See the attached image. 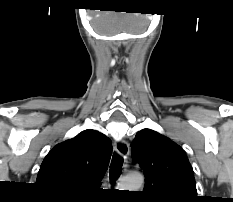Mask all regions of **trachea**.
Here are the masks:
<instances>
[{
	"label": "trachea",
	"instance_id": "1",
	"mask_svg": "<svg viewBox=\"0 0 233 202\" xmlns=\"http://www.w3.org/2000/svg\"><path fill=\"white\" fill-rule=\"evenodd\" d=\"M123 166V158L117 154H114L112 157L110 165V181L114 183L118 177L121 175V169Z\"/></svg>",
	"mask_w": 233,
	"mask_h": 202
}]
</instances>
